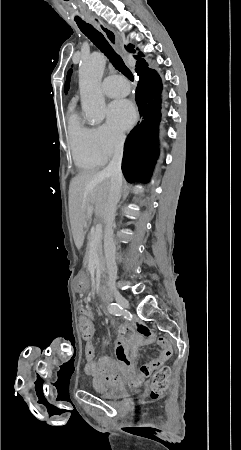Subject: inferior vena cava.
Returning a JSON list of instances; mask_svg holds the SVG:
<instances>
[{"label": "inferior vena cava", "instance_id": "obj_1", "mask_svg": "<svg viewBox=\"0 0 241 450\" xmlns=\"http://www.w3.org/2000/svg\"><path fill=\"white\" fill-rule=\"evenodd\" d=\"M125 136H121L116 140L115 154L108 164L107 168H104L103 174L105 176H110L111 186L110 194L108 200V216L109 220L105 224L104 232V254L106 260V266L108 270V284L112 290H115L116 286V276H117V266L115 262L116 246L113 240V222L116 216V206L121 198V188H122V158H123V148H124Z\"/></svg>", "mask_w": 241, "mask_h": 450}]
</instances>
